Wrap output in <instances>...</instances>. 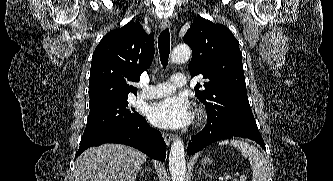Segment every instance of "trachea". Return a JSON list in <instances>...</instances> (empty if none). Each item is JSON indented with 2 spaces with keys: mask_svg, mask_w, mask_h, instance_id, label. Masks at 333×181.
I'll use <instances>...</instances> for the list:
<instances>
[{
  "mask_svg": "<svg viewBox=\"0 0 333 181\" xmlns=\"http://www.w3.org/2000/svg\"><path fill=\"white\" fill-rule=\"evenodd\" d=\"M158 47H159L161 63L164 67H166L168 65V57L170 53L169 29H165L160 33Z\"/></svg>",
  "mask_w": 333,
  "mask_h": 181,
  "instance_id": "3493384b",
  "label": "trachea"
}]
</instances>
